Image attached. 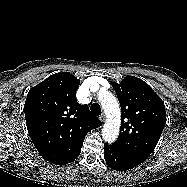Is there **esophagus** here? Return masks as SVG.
I'll use <instances>...</instances> for the list:
<instances>
[{
  "label": "esophagus",
  "instance_id": "34e87169",
  "mask_svg": "<svg viewBox=\"0 0 187 187\" xmlns=\"http://www.w3.org/2000/svg\"><path fill=\"white\" fill-rule=\"evenodd\" d=\"M99 120L103 123V122H105V115L104 114H101L100 116H99Z\"/></svg>",
  "mask_w": 187,
  "mask_h": 187
}]
</instances>
